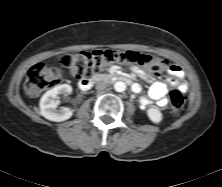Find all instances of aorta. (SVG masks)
<instances>
[{
  "instance_id": "aorta-1",
  "label": "aorta",
  "mask_w": 222,
  "mask_h": 187,
  "mask_svg": "<svg viewBox=\"0 0 222 187\" xmlns=\"http://www.w3.org/2000/svg\"><path fill=\"white\" fill-rule=\"evenodd\" d=\"M114 89L117 92H123L126 89V84L124 82H122V81H117L114 84Z\"/></svg>"
}]
</instances>
